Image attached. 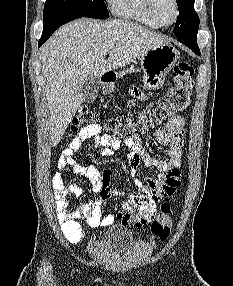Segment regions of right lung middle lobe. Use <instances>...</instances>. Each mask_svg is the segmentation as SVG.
Segmentation results:
<instances>
[{"label": "right lung middle lobe", "mask_w": 233, "mask_h": 286, "mask_svg": "<svg viewBox=\"0 0 233 286\" xmlns=\"http://www.w3.org/2000/svg\"><path fill=\"white\" fill-rule=\"evenodd\" d=\"M73 14L79 17L105 19L109 12L104 0H47L43 21L47 23L57 16Z\"/></svg>", "instance_id": "right-lung-middle-lobe-1"}]
</instances>
